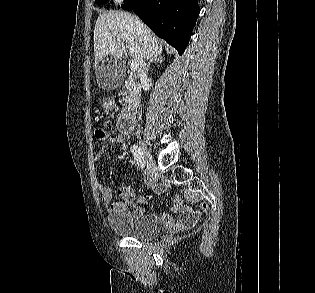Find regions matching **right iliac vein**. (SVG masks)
Returning a JSON list of instances; mask_svg holds the SVG:
<instances>
[{
	"label": "right iliac vein",
	"instance_id": "right-iliac-vein-1",
	"mask_svg": "<svg viewBox=\"0 0 315 293\" xmlns=\"http://www.w3.org/2000/svg\"><path fill=\"white\" fill-rule=\"evenodd\" d=\"M139 145H140V149L143 153V157L145 160L147 170L150 174H152L155 172V169H156V165H155V162L152 158V155L142 140L139 141Z\"/></svg>",
	"mask_w": 315,
	"mask_h": 293
}]
</instances>
